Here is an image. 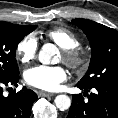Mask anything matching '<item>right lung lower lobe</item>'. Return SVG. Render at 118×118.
Instances as JSON below:
<instances>
[{"mask_svg": "<svg viewBox=\"0 0 118 118\" xmlns=\"http://www.w3.org/2000/svg\"><path fill=\"white\" fill-rule=\"evenodd\" d=\"M19 80V74L13 78L0 80V118H29L31 108L37 95L34 91L25 87L19 92H11L4 96L5 86L15 85Z\"/></svg>", "mask_w": 118, "mask_h": 118, "instance_id": "right-lung-lower-lobe-1", "label": "right lung lower lobe"}]
</instances>
